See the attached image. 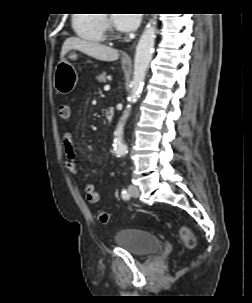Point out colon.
<instances>
[{
	"label": "colon",
	"instance_id": "1",
	"mask_svg": "<svg viewBox=\"0 0 252 303\" xmlns=\"http://www.w3.org/2000/svg\"><path fill=\"white\" fill-rule=\"evenodd\" d=\"M59 115L63 120L70 119L71 116L70 106L68 104H61L59 107ZM98 217H99V221L102 224H107L110 221V215L105 211H99ZM179 236L184 246L187 249L195 248L197 241L195 235L189 228L185 226H180Z\"/></svg>",
	"mask_w": 252,
	"mask_h": 303
}]
</instances>
